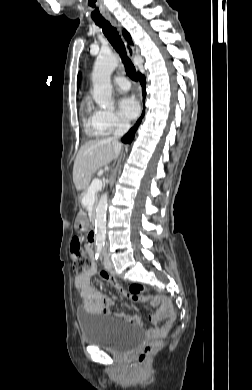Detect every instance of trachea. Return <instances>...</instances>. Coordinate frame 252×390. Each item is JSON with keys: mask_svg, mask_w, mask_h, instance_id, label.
Wrapping results in <instances>:
<instances>
[{"mask_svg": "<svg viewBox=\"0 0 252 390\" xmlns=\"http://www.w3.org/2000/svg\"><path fill=\"white\" fill-rule=\"evenodd\" d=\"M94 22L96 25L102 28V31L106 36V38L108 39V41L115 48V50L120 54L122 61L125 65V70L127 75L132 80L137 81V73L135 67L127 56L124 43L122 42L118 31L114 27H112L111 24L104 18L94 19Z\"/></svg>", "mask_w": 252, "mask_h": 390, "instance_id": "trachea-1", "label": "trachea"}]
</instances>
